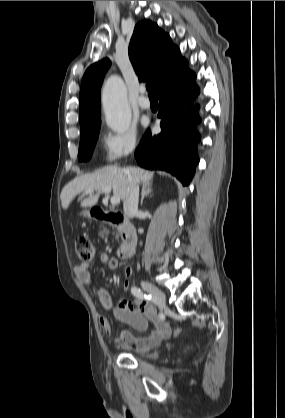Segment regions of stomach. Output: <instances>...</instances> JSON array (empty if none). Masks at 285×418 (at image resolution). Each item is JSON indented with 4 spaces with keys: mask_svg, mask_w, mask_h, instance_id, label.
<instances>
[{
    "mask_svg": "<svg viewBox=\"0 0 285 418\" xmlns=\"http://www.w3.org/2000/svg\"><path fill=\"white\" fill-rule=\"evenodd\" d=\"M83 214L85 215V216H88L89 215V213L88 212H83Z\"/></svg>",
    "mask_w": 285,
    "mask_h": 418,
    "instance_id": "obj_1",
    "label": "stomach"
}]
</instances>
